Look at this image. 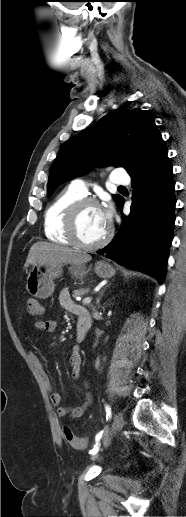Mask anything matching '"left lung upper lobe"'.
Wrapping results in <instances>:
<instances>
[{
  "mask_svg": "<svg viewBox=\"0 0 186 517\" xmlns=\"http://www.w3.org/2000/svg\"><path fill=\"white\" fill-rule=\"evenodd\" d=\"M161 138L149 113L127 108L110 112L62 145L50 168L48 196L95 165L122 166L129 174ZM114 199L118 204L122 196Z\"/></svg>",
  "mask_w": 186,
  "mask_h": 517,
  "instance_id": "obj_1",
  "label": "left lung upper lobe"
}]
</instances>
